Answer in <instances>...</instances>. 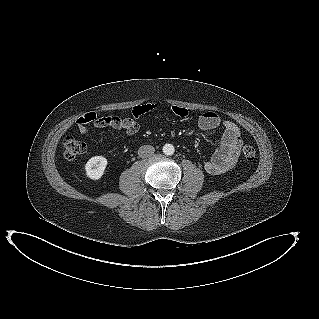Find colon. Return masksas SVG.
<instances>
[{
	"mask_svg": "<svg viewBox=\"0 0 319 319\" xmlns=\"http://www.w3.org/2000/svg\"><path fill=\"white\" fill-rule=\"evenodd\" d=\"M94 117H95L94 113H88L80 117L77 120V124H82V125L87 124L91 122L94 119ZM63 147H64V156L68 159H74L78 155L85 152V149H86L85 144L72 135H68L64 138ZM242 152L244 157L248 160H253L254 157L256 156V149L250 144H245L243 146Z\"/></svg>",
	"mask_w": 319,
	"mask_h": 319,
	"instance_id": "colon-1",
	"label": "colon"
}]
</instances>
